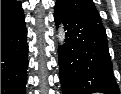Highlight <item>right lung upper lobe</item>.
<instances>
[{"mask_svg": "<svg viewBox=\"0 0 121 94\" xmlns=\"http://www.w3.org/2000/svg\"><path fill=\"white\" fill-rule=\"evenodd\" d=\"M15 2H16V0H1V9L4 7H7Z\"/></svg>", "mask_w": 121, "mask_h": 94, "instance_id": "right-lung-upper-lobe-1", "label": "right lung upper lobe"}]
</instances>
